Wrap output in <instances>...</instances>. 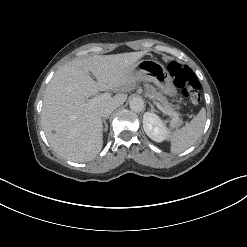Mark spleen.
<instances>
[{
  "label": "spleen",
  "mask_w": 247,
  "mask_h": 247,
  "mask_svg": "<svg viewBox=\"0 0 247 247\" xmlns=\"http://www.w3.org/2000/svg\"><path fill=\"white\" fill-rule=\"evenodd\" d=\"M206 121L204 108L185 126L179 130L169 131L168 139L171 142V152L179 154L191 147L201 136Z\"/></svg>",
  "instance_id": "spleen-1"
}]
</instances>
